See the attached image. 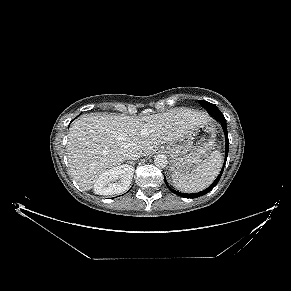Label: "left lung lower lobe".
Masks as SVG:
<instances>
[{"mask_svg":"<svg viewBox=\"0 0 291 291\" xmlns=\"http://www.w3.org/2000/svg\"><path fill=\"white\" fill-rule=\"evenodd\" d=\"M211 116H213L215 119H217L221 123V125H222V127L224 129L225 138H226L225 159H227L228 150H229V140H228V133H227V128H226V119L224 118V116H223V114L221 112L213 113ZM225 163H226V161L224 162V165H225ZM223 170H224V166L221 169V171L218 174V176L215 178V180L206 189H204L203 191H200L198 193H192V194L181 193V192L175 191L174 189H171L167 185L166 181H165V183H166L167 187L170 189V191L175 193V194H177L178 196H181V197H184V198H197L199 196L205 195L206 193L211 191L217 185V183L219 182V180L221 178Z\"/></svg>","mask_w":291,"mask_h":291,"instance_id":"obj_1","label":"left lung lower lobe"}]
</instances>
